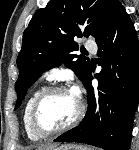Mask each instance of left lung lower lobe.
Listing matches in <instances>:
<instances>
[{
	"label": "left lung lower lobe",
	"instance_id": "obj_1",
	"mask_svg": "<svg viewBox=\"0 0 139 150\" xmlns=\"http://www.w3.org/2000/svg\"><path fill=\"white\" fill-rule=\"evenodd\" d=\"M99 86L94 92L91 69L87 76L88 109L84 120L55 142H79L105 150H128L139 97V41L134 25L119 1L96 38Z\"/></svg>",
	"mask_w": 139,
	"mask_h": 150
}]
</instances>
